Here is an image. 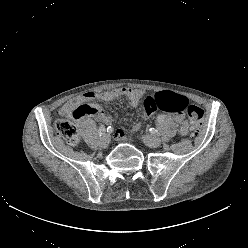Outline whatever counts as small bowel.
I'll use <instances>...</instances> for the list:
<instances>
[{
  "label": "small bowel",
  "mask_w": 248,
  "mask_h": 248,
  "mask_svg": "<svg viewBox=\"0 0 248 248\" xmlns=\"http://www.w3.org/2000/svg\"><path fill=\"white\" fill-rule=\"evenodd\" d=\"M144 95L145 92L143 90L128 88V87L116 88L113 90L103 91L100 93L86 92L66 102L60 108L59 113L60 115L65 117H72V112L79 106L83 105V103L85 102H89L95 99L100 101H111L120 97H125L131 106L136 107L139 105ZM88 107L90 108V113H88L86 116L92 117L105 124H109L111 122L110 116L106 115L99 107L97 106H88ZM172 118L177 123H180L177 126L178 134L185 135L189 133L190 126L184 121V116L182 113L172 114ZM138 127L139 124L135 126V129H137ZM115 137L118 140H124L125 139L124 132L122 130H117L115 132Z\"/></svg>",
  "instance_id": "small-bowel-1"
}]
</instances>
